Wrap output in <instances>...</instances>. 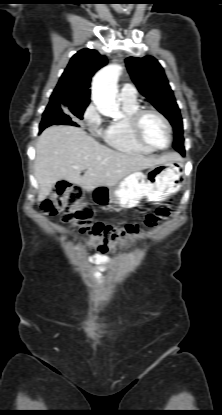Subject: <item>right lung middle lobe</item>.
I'll return each mask as SVG.
<instances>
[{
	"instance_id": "1",
	"label": "right lung middle lobe",
	"mask_w": 222,
	"mask_h": 415,
	"mask_svg": "<svg viewBox=\"0 0 222 415\" xmlns=\"http://www.w3.org/2000/svg\"><path fill=\"white\" fill-rule=\"evenodd\" d=\"M88 104H79V103H71V104H49L45 111L51 113V112H58L60 114L65 115V120H67L68 123L73 122L69 115H66L63 111L69 112L71 115L76 116L79 119L83 118V113L86 109Z\"/></svg>"
}]
</instances>
